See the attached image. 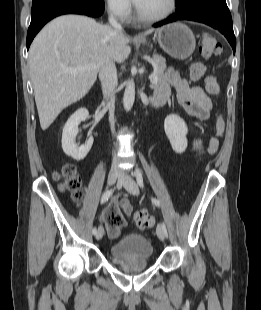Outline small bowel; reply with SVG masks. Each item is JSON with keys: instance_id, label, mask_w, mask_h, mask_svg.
Listing matches in <instances>:
<instances>
[{"instance_id": "c3829d8e", "label": "small bowel", "mask_w": 261, "mask_h": 310, "mask_svg": "<svg viewBox=\"0 0 261 310\" xmlns=\"http://www.w3.org/2000/svg\"><path fill=\"white\" fill-rule=\"evenodd\" d=\"M169 86L174 87L179 103L188 114L199 120H206L209 118L212 110V102L201 87L190 85L185 79L181 78L176 71L170 69L167 71V81L156 86L155 98L165 101L169 95ZM193 146L200 154L204 152L213 154L218 148V142L216 139L212 138L205 145L200 138H197L194 140ZM119 203L121 212L126 216H131L133 208L129 200L124 198L121 199Z\"/></svg>"}]
</instances>
